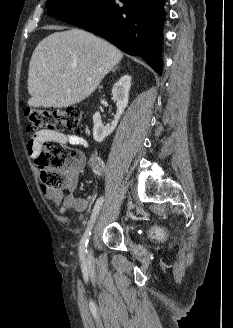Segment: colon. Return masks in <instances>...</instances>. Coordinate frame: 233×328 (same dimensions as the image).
I'll use <instances>...</instances> for the list:
<instances>
[{
    "instance_id": "colon-1",
    "label": "colon",
    "mask_w": 233,
    "mask_h": 328,
    "mask_svg": "<svg viewBox=\"0 0 233 328\" xmlns=\"http://www.w3.org/2000/svg\"><path fill=\"white\" fill-rule=\"evenodd\" d=\"M28 129L43 128L49 131L64 129L80 130L84 114L81 109L27 108ZM83 161L82 153L75 148L67 147L56 140H47L40 146L36 164L40 169L43 189H60L75 178L76 172ZM153 236L162 237L160 231Z\"/></svg>"
}]
</instances>
